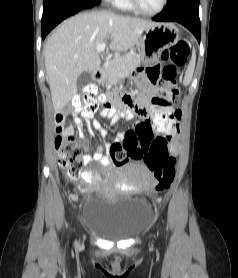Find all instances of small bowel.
<instances>
[{
  "label": "small bowel",
  "mask_w": 238,
  "mask_h": 278,
  "mask_svg": "<svg viewBox=\"0 0 238 278\" xmlns=\"http://www.w3.org/2000/svg\"><path fill=\"white\" fill-rule=\"evenodd\" d=\"M162 64H159V59H152V64L149 67H145L144 76H147V80L143 76L138 77V84L143 89V93L140 97V102L136 103V100H123V107L118 108L114 105L112 98L106 95H100L98 97V104L102 106L101 114L110 119L112 123L118 122L120 119L131 120L135 115L145 118V121L140 122L132 130H128L124 133L117 135L114 143H125L132 141L135 144H140V137H152L150 144H168V147L176 153L179 149L178 130L176 128V121L180 118V112L175 111V128L168 135H159L154 133L153 127H140L147 125L148 114L152 112V105H147L148 98L150 97L151 86L154 89L158 88L161 81ZM66 115L63 112H57L55 114V124L57 133L62 134H74V128L72 126H65ZM83 119L89 120L92 127L97 130L102 138L107 137V131L104 130L100 122L94 118V113L87 112L83 109H75L74 111V123L79 131L81 138V145L84 150L88 148V142L83 138ZM113 143L105 142L104 146H98L91 155H84L83 162L85 165L90 164L92 161H99L104 165L110 164V160L104 156V151H109ZM171 154V155H172ZM88 177V176H87ZM155 185V181L148 177L145 182L146 189H152ZM72 199H75V195H71Z\"/></svg>",
  "instance_id": "c3829d8e"
}]
</instances>
